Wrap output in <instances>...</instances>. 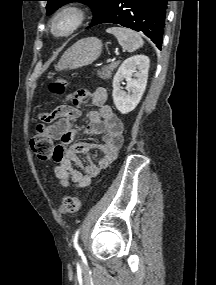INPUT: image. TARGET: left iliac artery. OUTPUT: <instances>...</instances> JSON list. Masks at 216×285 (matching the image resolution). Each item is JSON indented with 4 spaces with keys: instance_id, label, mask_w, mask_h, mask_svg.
<instances>
[{
    "instance_id": "44dca946",
    "label": "left iliac artery",
    "mask_w": 216,
    "mask_h": 285,
    "mask_svg": "<svg viewBox=\"0 0 216 285\" xmlns=\"http://www.w3.org/2000/svg\"><path fill=\"white\" fill-rule=\"evenodd\" d=\"M78 235H79V230L76 231L73 242H74V247L79 250L78 243H77Z\"/></svg>"
}]
</instances>
